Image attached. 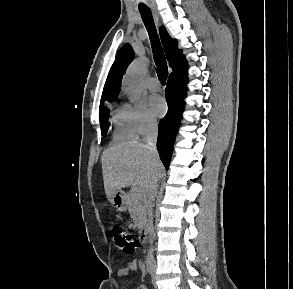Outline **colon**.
Wrapping results in <instances>:
<instances>
[{"instance_id":"obj_1","label":"colon","mask_w":293,"mask_h":289,"mask_svg":"<svg viewBox=\"0 0 293 289\" xmlns=\"http://www.w3.org/2000/svg\"><path fill=\"white\" fill-rule=\"evenodd\" d=\"M112 234L116 245L122 252L128 255L135 253L136 243L131 234L119 225H114L112 227Z\"/></svg>"}]
</instances>
